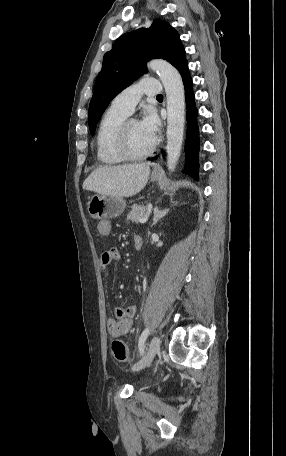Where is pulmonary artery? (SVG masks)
Instances as JSON below:
<instances>
[{
  "instance_id": "1",
  "label": "pulmonary artery",
  "mask_w": 286,
  "mask_h": 456,
  "mask_svg": "<svg viewBox=\"0 0 286 456\" xmlns=\"http://www.w3.org/2000/svg\"><path fill=\"white\" fill-rule=\"evenodd\" d=\"M159 93V80L155 77H144L138 83L122 90L112 100L111 106L130 115L143 95L155 96Z\"/></svg>"
}]
</instances>
